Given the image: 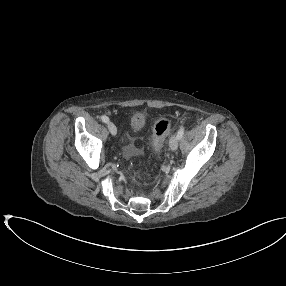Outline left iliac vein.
Instances as JSON below:
<instances>
[{
  "label": "left iliac vein",
  "mask_w": 286,
  "mask_h": 286,
  "mask_svg": "<svg viewBox=\"0 0 286 286\" xmlns=\"http://www.w3.org/2000/svg\"><path fill=\"white\" fill-rule=\"evenodd\" d=\"M178 143H179V138L177 137V135H173L169 141V146L171 150H176L178 148Z\"/></svg>",
  "instance_id": "1"
}]
</instances>
